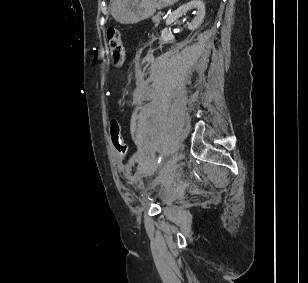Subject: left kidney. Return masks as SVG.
Returning <instances> with one entry per match:
<instances>
[{"label":"left kidney","instance_id":"obj_1","mask_svg":"<svg viewBox=\"0 0 308 283\" xmlns=\"http://www.w3.org/2000/svg\"><path fill=\"white\" fill-rule=\"evenodd\" d=\"M195 9V17L188 24L189 30H194L199 27L205 16V4L202 0H191L190 2L180 6L177 10L173 11L166 19V25H171L177 18L185 14L187 11ZM161 38L164 42H170L174 40L172 33L167 28L161 32Z\"/></svg>","mask_w":308,"mask_h":283}]
</instances>
